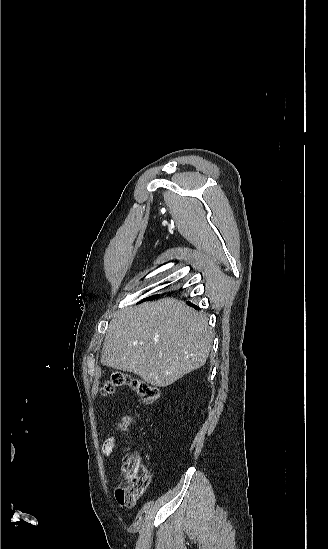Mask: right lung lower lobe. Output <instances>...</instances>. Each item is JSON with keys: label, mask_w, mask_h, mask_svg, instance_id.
Returning <instances> with one entry per match:
<instances>
[{"label": "right lung lower lobe", "mask_w": 328, "mask_h": 549, "mask_svg": "<svg viewBox=\"0 0 328 549\" xmlns=\"http://www.w3.org/2000/svg\"><path fill=\"white\" fill-rule=\"evenodd\" d=\"M189 304H191V303H189ZM191 305L196 308V306L194 304H191Z\"/></svg>", "instance_id": "obj_1"}]
</instances>
